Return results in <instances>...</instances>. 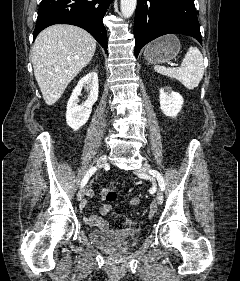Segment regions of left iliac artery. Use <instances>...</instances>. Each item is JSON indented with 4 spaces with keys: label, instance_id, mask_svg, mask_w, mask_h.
<instances>
[{
    "label": "left iliac artery",
    "instance_id": "obj_1",
    "mask_svg": "<svg viewBox=\"0 0 240 281\" xmlns=\"http://www.w3.org/2000/svg\"><path fill=\"white\" fill-rule=\"evenodd\" d=\"M149 173L157 178V180L159 182V186H160L161 190L163 191L165 189V182H164L162 175L156 170H150Z\"/></svg>",
    "mask_w": 240,
    "mask_h": 281
}]
</instances>
